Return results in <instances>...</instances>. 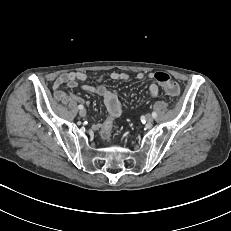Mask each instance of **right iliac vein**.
<instances>
[{"instance_id":"1","label":"right iliac vein","mask_w":231,"mask_h":231,"mask_svg":"<svg viewBox=\"0 0 231 231\" xmlns=\"http://www.w3.org/2000/svg\"><path fill=\"white\" fill-rule=\"evenodd\" d=\"M79 115H80L81 117H85V116H86V110H85V109H81V110L79 111Z\"/></svg>"}]
</instances>
